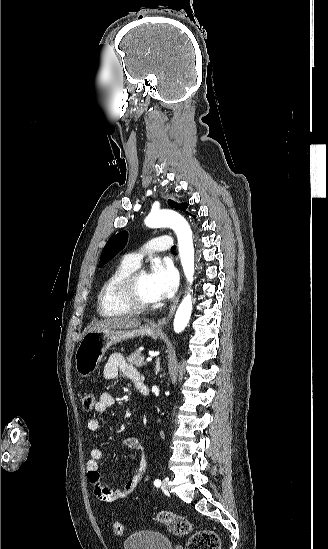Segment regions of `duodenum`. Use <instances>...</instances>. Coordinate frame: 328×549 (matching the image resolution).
<instances>
[{
	"mask_svg": "<svg viewBox=\"0 0 328 549\" xmlns=\"http://www.w3.org/2000/svg\"><path fill=\"white\" fill-rule=\"evenodd\" d=\"M133 382L138 389L139 392H141L143 395L149 394V388L145 384V382L140 378V376H137L133 379Z\"/></svg>",
	"mask_w": 328,
	"mask_h": 549,
	"instance_id": "duodenum-1",
	"label": "duodenum"
}]
</instances>
